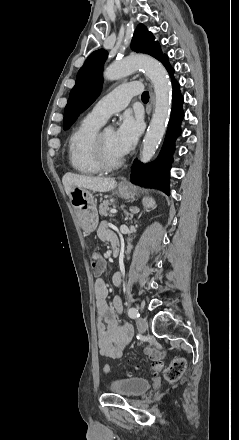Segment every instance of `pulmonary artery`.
<instances>
[{
    "label": "pulmonary artery",
    "instance_id": "obj_1",
    "mask_svg": "<svg viewBox=\"0 0 239 440\" xmlns=\"http://www.w3.org/2000/svg\"><path fill=\"white\" fill-rule=\"evenodd\" d=\"M142 89L143 86L139 82L121 85L101 97L93 105L87 116L99 123H103L112 113L125 108L130 99L139 94Z\"/></svg>",
    "mask_w": 239,
    "mask_h": 440
}]
</instances>
